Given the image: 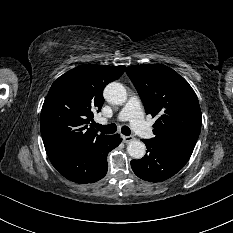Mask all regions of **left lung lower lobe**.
<instances>
[{
  "label": "left lung lower lobe",
  "instance_id": "0a47b994",
  "mask_svg": "<svg viewBox=\"0 0 233 233\" xmlns=\"http://www.w3.org/2000/svg\"><path fill=\"white\" fill-rule=\"evenodd\" d=\"M147 153L142 159L132 160L134 173L143 180L164 181L176 174L188 162L193 147L176 143H158L143 139Z\"/></svg>",
  "mask_w": 233,
  "mask_h": 233
}]
</instances>
